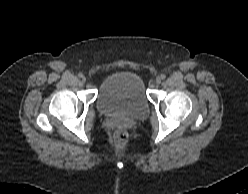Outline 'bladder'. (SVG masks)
<instances>
[{"mask_svg": "<svg viewBox=\"0 0 248 194\" xmlns=\"http://www.w3.org/2000/svg\"><path fill=\"white\" fill-rule=\"evenodd\" d=\"M97 108L108 115L128 118L146 116L149 100L144 80L139 74L130 71L109 75L98 91Z\"/></svg>", "mask_w": 248, "mask_h": 194, "instance_id": "obj_1", "label": "bladder"}]
</instances>
